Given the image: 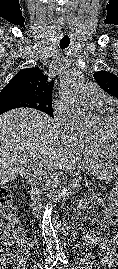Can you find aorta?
Here are the masks:
<instances>
[{"instance_id":"obj_1","label":"aorta","mask_w":118,"mask_h":269,"mask_svg":"<svg viewBox=\"0 0 118 269\" xmlns=\"http://www.w3.org/2000/svg\"><path fill=\"white\" fill-rule=\"evenodd\" d=\"M82 83L83 79L78 71L67 72L60 80V96L65 109L72 115L78 125L85 129H91L94 126L93 118L90 112L80 105ZM71 194L72 189L69 187L60 189L45 208L41 229L45 244L51 252H60L61 250L52 224L53 208L61 199L68 198Z\"/></svg>"}]
</instances>
